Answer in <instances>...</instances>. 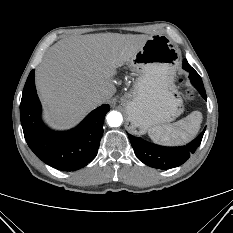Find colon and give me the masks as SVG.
Here are the masks:
<instances>
[{"instance_id":"5ec220e1","label":"colon","mask_w":233,"mask_h":233,"mask_svg":"<svg viewBox=\"0 0 233 233\" xmlns=\"http://www.w3.org/2000/svg\"><path fill=\"white\" fill-rule=\"evenodd\" d=\"M179 83L181 85L184 84V80H180ZM184 97L187 99V100H192L193 99V93L191 90H185L184 92Z\"/></svg>"}]
</instances>
